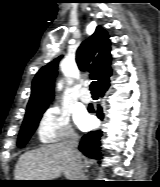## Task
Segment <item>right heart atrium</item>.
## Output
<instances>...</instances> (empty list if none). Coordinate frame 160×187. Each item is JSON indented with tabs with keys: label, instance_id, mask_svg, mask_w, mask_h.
I'll return each mask as SVG.
<instances>
[{
	"label": "right heart atrium",
	"instance_id": "d8ad5b80",
	"mask_svg": "<svg viewBox=\"0 0 160 187\" xmlns=\"http://www.w3.org/2000/svg\"><path fill=\"white\" fill-rule=\"evenodd\" d=\"M38 136L42 143H76L78 136L72 127L70 115L58 106L45 110L38 123Z\"/></svg>",
	"mask_w": 160,
	"mask_h": 187
}]
</instances>
